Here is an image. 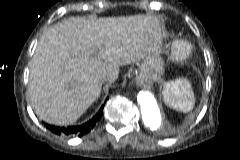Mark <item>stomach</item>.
Here are the masks:
<instances>
[{"instance_id": "obj_1", "label": "stomach", "mask_w": 240, "mask_h": 160, "mask_svg": "<svg viewBox=\"0 0 240 160\" xmlns=\"http://www.w3.org/2000/svg\"><path fill=\"white\" fill-rule=\"evenodd\" d=\"M142 69L150 77L158 78L164 72V62L158 55H150L144 60Z\"/></svg>"}]
</instances>
